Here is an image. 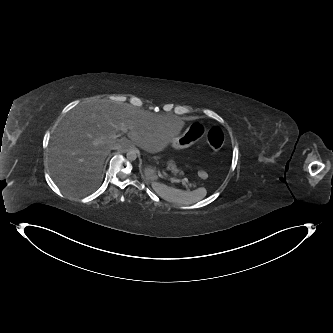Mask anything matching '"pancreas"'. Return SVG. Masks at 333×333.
I'll return each mask as SVG.
<instances>
[{"label":"pancreas","mask_w":333,"mask_h":333,"mask_svg":"<svg viewBox=\"0 0 333 333\" xmlns=\"http://www.w3.org/2000/svg\"><path fill=\"white\" fill-rule=\"evenodd\" d=\"M167 169L171 170L173 173L179 172V169L177 168V166L173 160H170L167 162Z\"/></svg>","instance_id":"cf45deb5"}]
</instances>
